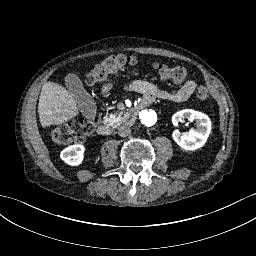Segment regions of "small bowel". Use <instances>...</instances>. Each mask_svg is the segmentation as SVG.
Returning <instances> with one entry per match:
<instances>
[{"label":"small bowel","instance_id":"c3829d8e","mask_svg":"<svg viewBox=\"0 0 256 256\" xmlns=\"http://www.w3.org/2000/svg\"><path fill=\"white\" fill-rule=\"evenodd\" d=\"M125 90L139 92L143 95V103L149 104L155 100H166L170 102H183L195 92L196 83L186 80L175 91L162 89L146 80H131L123 84Z\"/></svg>","mask_w":256,"mask_h":256}]
</instances>
